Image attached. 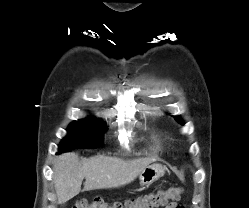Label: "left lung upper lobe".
<instances>
[{
  "label": "left lung upper lobe",
  "mask_w": 249,
  "mask_h": 208,
  "mask_svg": "<svg viewBox=\"0 0 249 208\" xmlns=\"http://www.w3.org/2000/svg\"><path fill=\"white\" fill-rule=\"evenodd\" d=\"M173 117L175 118V120H176L178 123L183 124V122H182V120H181L180 117H178V116H173Z\"/></svg>",
  "instance_id": "obj_1"
}]
</instances>
